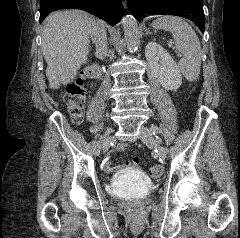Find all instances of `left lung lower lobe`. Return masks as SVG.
I'll use <instances>...</instances> for the list:
<instances>
[{"instance_id":"0a47b994","label":"left lung lower lobe","mask_w":240,"mask_h":238,"mask_svg":"<svg viewBox=\"0 0 240 238\" xmlns=\"http://www.w3.org/2000/svg\"><path fill=\"white\" fill-rule=\"evenodd\" d=\"M203 0H127L129 11L140 21L148 15H176L194 22L205 30Z\"/></svg>"}]
</instances>
